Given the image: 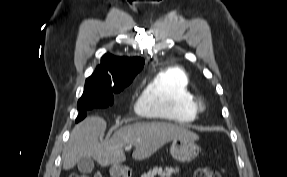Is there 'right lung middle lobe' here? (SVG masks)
<instances>
[{
	"mask_svg": "<svg viewBox=\"0 0 287 177\" xmlns=\"http://www.w3.org/2000/svg\"><path fill=\"white\" fill-rule=\"evenodd\" d=\"M130 82H124L113 86H104L91 80H86L85 89L82 97L78 101V110L80 113L86 112L93 108H105L111 106L114 102L113 93H119ZM84 118L81 114L77 117L76 121Z\"/></svg>",
	"mask_w": 287,
	"mask_h": 177,
	"instance_id": "dd1d6c3e",
	"label": "right lung middle lobe"
}]
</instances>
